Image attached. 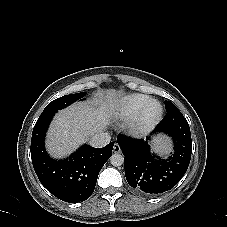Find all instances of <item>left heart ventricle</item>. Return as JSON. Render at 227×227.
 <instances>
[{"instance_id": "b2bd125f", "label": "left heart ventricle", "mask_w": 227, "mask_h": 227, "mask_svg": "<svg viewBox=\"0 0 227 227\" xmlns=\"http://www.w3.org/2000/svg\"><path fill=\"white\" fill-rule=\"evenodd\" d=\"M158 112V105L152 104L149 109H148V114L149 115H154Z\"/></svg>"}]
</instances>
